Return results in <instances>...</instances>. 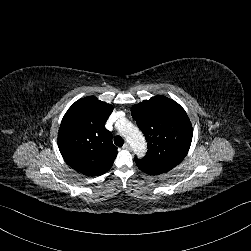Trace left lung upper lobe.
Masks as SVG:
<instances>
[{"instance_id": "left-lung-upper-lobe-1", "label": "left lung upper lobe", "mask_w": 251, "mask_h": 251, "mask_svg": "<svg viewBox=\"0 0 251 251\" xmlns=\"http://www.w3.org/2000/svg\"><path fill=\"white\" fill-rule=\"evenodd\" d=\"M148 142L142 160L174 168L187 155L192 141L191 122L184 109L165 96H155L131 109Z\"/></svg>"}]
</instances>
